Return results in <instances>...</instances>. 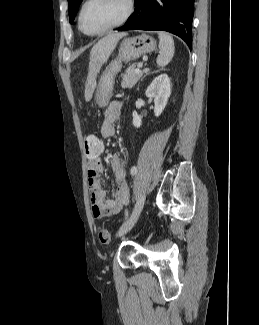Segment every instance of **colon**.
<instances>
[{"label":"colon","mask_w":259,"mask_h":325,"mask_svg":"<svg viewBox=\"0 0 259 325\" xmlns=\"http://www.w3.org/2000/svg\"><path fill=\"white\" fill-rule=\"evenodd\" d=\"M84 147L85 151L88 153L94 152L96 150H103V139L97 138L95 135L89 134L85 137ZM96 235L97 239L101 244H109L111 236L110 232L107 229L102 227L98 228Z\"/></svg>","instance_id":"5ec220e1"}]
</instances>
